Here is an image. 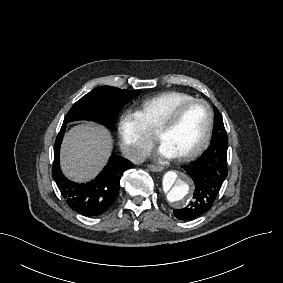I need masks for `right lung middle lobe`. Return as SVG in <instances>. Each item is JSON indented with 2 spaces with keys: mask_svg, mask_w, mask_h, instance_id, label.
<instances>
[{
  "mask_svg": "<svg viewBox=\"0 0 283 283\" xmlns=\"http://www.w3.org/2000/svg\"><path fill=\"white\" fill-rule=\"evenodd\" d=\"M140 93V90L130 91L111 86L97 87L72 106L63 124L74 120H92L112 130L121 108Z\"/></svg>",
  "mask_w": 283,
  "mask_h": 283,
  "instance_id": "right-lung-middle-lobe-1",
  "label": "right lung middle lobe"
}]
</instances>
